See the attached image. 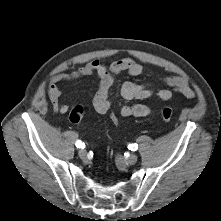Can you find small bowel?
Instances as JSON below:
<instances>
[{"instance_id": "1", "label": "small bowel", "mask_w": 221, "mask_h": 221, "mask_svg": "<svg viewBox=\"0 0 221 221\" xmlns=\"http://www.w3.org/2000/svg\"><path fill=\"white\" fill-rule=\"evenodd\" d=\"M143 71V66L129 57L116 60L109 66L99 59H94L71 73L55 75L47 87V94L52 104L53 111L55 113L67 114L69 107L60 101L62 90L58 87L57 83L73 82L94 75L99 81L93 98L94 109L99 114L110 113L111 115V101L109 95L115 76L121 72H126L129 76L136 77L141 75ZM163 82L167 88L157 92V97L162 102L170 101L174 93L182 94L187 98H192L194 96V92L188 82L181 77H167ZM120 94L127 100H143L152 96L153 92L145 84L125 82L120 87ZM152 111L151 107L144 104L125 105L119 108V113L123 117H146L150 115Z\"/></svg>"}]
</instances>
